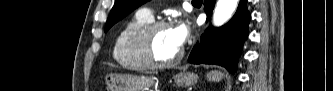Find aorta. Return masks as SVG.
<instances>
[{
    "label": "aorta",
    "instance_id": "aorta-1",
    "mask_svg": "<svg viewBox=\"0 0 333 91\" xmlns=\"http://www.w3.org/2000/svg\"><path fill=\"white\" fill-rule=\"evenodd\" d=\"M237 5L238 0H218L213 14V24L221 26L226 23L236 10Z\"/></svg>",
    "mask_w": 333,
    "mask_h": 91
}]
</instances>
